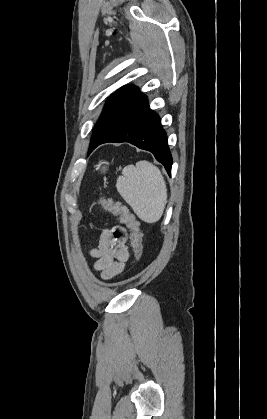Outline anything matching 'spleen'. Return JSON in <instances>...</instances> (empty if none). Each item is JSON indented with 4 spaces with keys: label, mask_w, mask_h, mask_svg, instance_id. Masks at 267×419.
Here are the masks:
<instances>
[{
    "label": "spleen",
    "mask_w": 267,
    "mask_h": 419,
    "mask_svg": "<svg viewBox=\"0 0 267 419\" xmlns=\"http://www.w3.org/2000/svg\"><path fill=\"white\" fill-rule=\"evenodd\" d=\"M116 188L142 221L160 220L167 203V187L158 167L146 160L128 165L117 178Z\"/></svg>",
    "instance_id": "1"
}]
</instances>
